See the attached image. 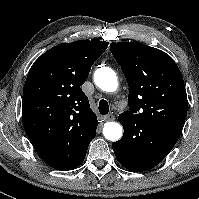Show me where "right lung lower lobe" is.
<instances>
[{
  "mask_svg": "<svg viewBox=\"0 0 199 199\" xmlns=\"http://www.w3.org/2000/svg\"><path fill=\"white\" fill-rule=\"evenodd\" d=\"M96 136V135H95ZM94 136V137H95ZM93 137V138H94ZM91 138L82 148L81 150L77 153V155L74 157V159L70 160L68 163H62L60 161H57L55 158L53 157H49L48 159H45L44 161L51 167L57 169V170H61V171H68V170H72L74 168H76L77 166H79L86 155L87 152V148L89 146V143L91 142V140L93 139Z\"/></svg>",
  "mask_w": 199,
  "mask_h": 199,
  "instance_id": "obj_1",
  "label": "right lung lower lobe"
}]
</instances>
